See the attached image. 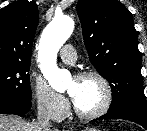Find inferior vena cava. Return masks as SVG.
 Returning <instances> with one entry per match:
<instances>
[{
  "label": "inferior vena cava",
  "mask_w": 147,
  "mask_h": 131,
  "mask_svg": "<svg viewBox=\"0 0 147 131\" xmlns=\"http://www.w3.org/2000/svg\"><path fill=\"white\" fill-rule=\"evenodd\" d=\"M50 117H51L50 107L45 104H40L38 106L37 120L41 130L46 131L48 130V128H50L51 126Z\"/></svg>",
  "instance_id": "obj_1"
}]
</instances>
